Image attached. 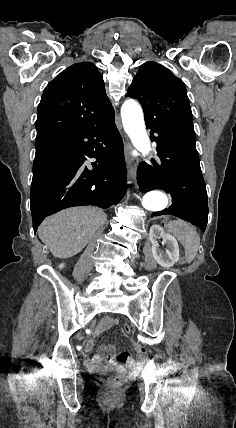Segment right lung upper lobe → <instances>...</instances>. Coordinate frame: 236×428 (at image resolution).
I'll list each match as a JSON object with an SVG mask.
<instances>
[{"label": "right lung upper lobe", "mask_w": 236, "mask_h": 428, "mask_svg": "<svg viewBox=\"0 0 236 428\" xmlns=\"http://www.w3.org/2000/svg\"><path fill=\"white\" fill-rule=\"evenodd\" d=\"M113 114L96 66L91 62L73 64L44 90L37 112L36 143L94 125Z\"/></svg>", "instance_id": "obj_1"}]
</instances>
